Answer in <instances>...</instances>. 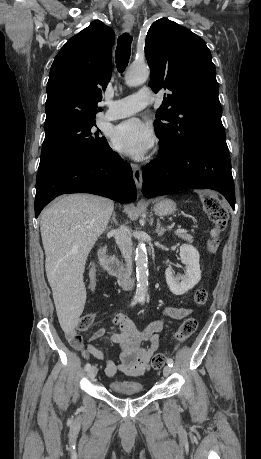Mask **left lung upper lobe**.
Instances as JSON below:
<instances>
[{
  "mask_svg": "<svg viewBox=\"0 0 261 459\" xmlns=\"http://www.w3.org/2000/svg\"><path fill=\"white\" fill-rule=\"evenodd\" d=\"M145 56L149 86L170 91L154 122L161 143L179 150L200 139L225 137L216 69L203 39L162 18L147 33Z\"/></svg>",
  "mask_w": 261,
  "mask_h": 459,
  "instance_id": "obj_1",
  "label": "left lung upper lobe"
}]
</instances>
